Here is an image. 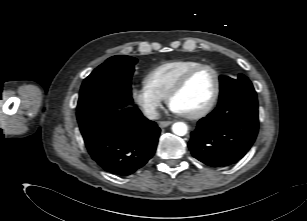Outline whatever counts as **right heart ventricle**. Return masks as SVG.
Listing matches in <instances>:
<instances>
[{
  "instance_id": "right-heart-ventricle-1",
  "label": "right heart ventricle",
  "mask_w": 307,
  "mask_h": 221,
  "mask_svg": "<svg viewBox=\"0 0 307 221\" xmlns=\"http://www.w3.org/2000/svg\"><path fill=\"white\" fill-rule=\"evenodd\" d=\"M195 60H174L164 62L151 69L144 77V85L156 96L164 99L188 70L200 65Z\"/></svg>"
}]
</instances>
